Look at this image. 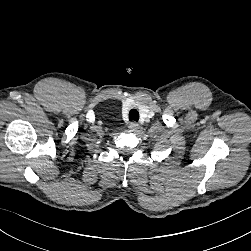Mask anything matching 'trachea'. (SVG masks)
Returning a JSON list of instances; mask_svg holds the SVG:
<instances>
[{
    "instance_id": "3493384b",
    "label": "trachea",
    "mask_w": 251,
    "mask_h": 251,
    "mask_svg": "<svg viewBox=\"0 0 251 251\" xmlns=\"http://www.w3.org/2000/svg\"><path fill=\"white\" fill-rule=\"evenodd\" d=\"M129 120L130 121H138L139 120V112L136 109H132L129 112Z\"/></svg>"
}]
</instances>
